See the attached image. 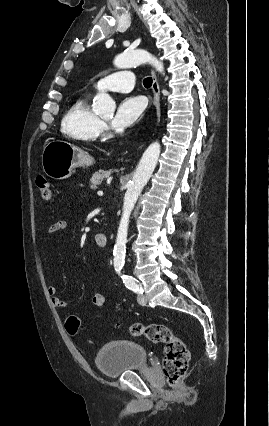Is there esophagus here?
Listing matches in <instances>:
<instances>
[{
  "label": "esophagus",
  "instance_id": "1",
  "mask_svg": "<svg viewBox=\"0 0 269 426\" xmlns=\"http://www.w3.org/2000/svg\"><path fill=\"white\" fill-rule=\"evenodd\" d=\"M152 75V92H153V101L152 104L156 110V116L159 117L160 115V88L157 81L156 73L152 69L151 70Z\"/></svg>",
  "mask_w": 269,
  "mask_h": 426
}]
</instances>
